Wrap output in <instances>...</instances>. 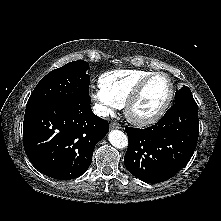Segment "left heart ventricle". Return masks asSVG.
I'll return each instance as SVG.
<instances>
[{
    "instance_id": "obj_1",
    "label": "left heart ventricle",
    "mask_w": 221,
    "mask_h": 221,
    "mask_svg": "<svg viewBox=\"0 0 221 221\" xmlns=\"http://www.w3.org/2000/svg\"><path fill=\"white\" fill-rule=\"evenodd\" d=\"M169 90V82L164 76L154 77L133 106V115L147 117L157 112L166 100Z\"/></svg>"
}]
</instances>
